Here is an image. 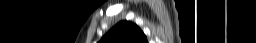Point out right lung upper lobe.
<instances>
[{
	"label": "right lung upper lobe",
	"instance_id": "obj_1",
	"mask_svg": "<svg viewBox=\"0 0 256 43\" xmlns=\"http://www.w3.org/2000/svg\"><path fill=\"white\" fill-rule=\"evenodd\" d=\"M100 43H148V41L136 24L121 21L103 36Z\"/></svg>",
	"mask_w": 256,
	"mask_h": 43
}]
</instances>
